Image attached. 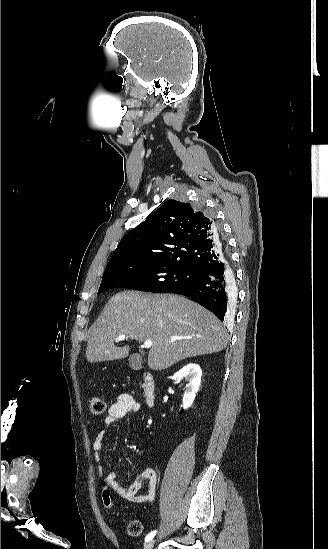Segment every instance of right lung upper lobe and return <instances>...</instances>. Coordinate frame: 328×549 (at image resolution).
I'll list each match as a JSON object with an SVG mask.
<instances>
[{
  "instance_id": "1",
  "label": "right lung upper lobe",
  "mask_w": 328,
  "mask_h": 549,
  "mask_svg": "<svg viewBox=\"0 0 328 549\" xmlns=\"http://www.w3.org/2000/svg\"><path fill=\"white\" fill-rule=\"evenodd\" d=\"M226 256L214 219L189 203L168 200L120 241L106 270L125 261H152L202 272Z\"/></svg>"
}]
</instances>
